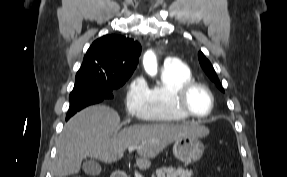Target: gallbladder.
I'll use <instances>...</instances> for the list:
<instances>
[{
    "mask_svg": "<svg viewBox=\"0 0 287 177\" xmlns=\"http://www.w3.org/2000/svg\"><path fill=\"white\" fill-rule=\"evenodd\" d=\"M83 171L89 176H96L101 173V166L95 159L86 160L83 163Z\"/></svg>",
    "mask_w": 287,
    "mask_h": 177,
    "instance_id": "obj_1",
    "label": "gallbladder"
}]
</instances>
